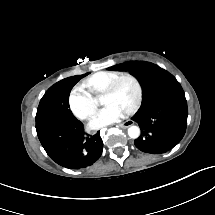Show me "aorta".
<instances>
[{
    "mask_svg": "<svg viewBox=\"0 0 215 215\" xmlns=\"http://www.w3.org/2000/svg\"><path fill=\"white\" fill-rule=\"evenodd\" d=\"M128 135L132 139L138 138L139 135H140V129H139V127H137V126H130L128 128Z\"/></svg>",
    "mask_w": 215,
    "mask_h": 215,
    "instance_id": "1",
    "label": "aorta"
}]
</instances>
